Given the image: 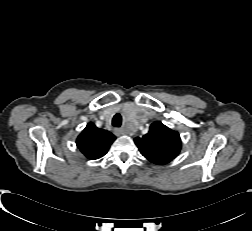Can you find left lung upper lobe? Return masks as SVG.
Returning a JSON list of instances; mask_svg holds the SVG:
<instances>
[{"instance_id": "left-lung-upper-lobe-1", "label": "left lung upper lobe", "mask_w": 252, "mask_h": 231, "mask_svg": "<svg viewBox=\"0 0 252 231\" xmlns=\"http://www.w3.org/2000/svg\"><path fill=\"white\" fill-rule=\"evenodd\" d=\"M134 141L141 154L158 165L172 161L181 149L179 134L161 122H154L147 134L136 137Z\"/></svg>"}]
</instances>
